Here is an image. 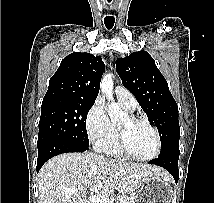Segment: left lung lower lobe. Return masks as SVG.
I'll use <instances>...</instances> for the list:
<instances>
[{"label": "left lung lower lobe", "mask_w": 214, "mask_h": 203, "mask_svg": "<svg viewBox=\"0 0 214 203\" xmlns=\"http://www.w3.org/2000/svg\"><path fill=\"white\" fill-rule=\"evenodd\" d=\"M178 159L179 153H170L164 156H158L157 159L151 160L148 163L161 166L168 170L177 183L179 179Z\"/></svg>", "instance_id": "0a47b994"}]
</instances>
